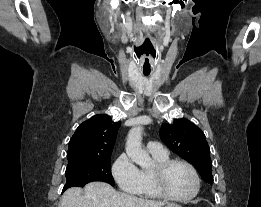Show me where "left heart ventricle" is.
Listing matches in <instances>:
<instances>
[{"mask_svg": "<svg viewBox=\"0 0 261 207\" xmlns=\"http://www.w3.org/2000/svg\"><path fill=\"white\" fill-rule=\"evenodd\" d=\"M167 190L176 197H186L194 191V179L189 171L183 165H173L165 177Z\"/></svg>", "mask_w": 261, "mask_h": 207, "instance_id": "left-heart-ventricle-1", "label": "left heart ventricle"}]
</instances>
